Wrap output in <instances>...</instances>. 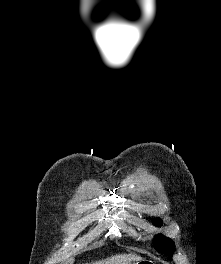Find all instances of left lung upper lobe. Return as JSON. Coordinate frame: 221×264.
<instances>
[{"instance_id": "1", "label": "left lung upper lobe", "mask_w": 221, "mask_h": 264, "mask_svg": "<svg viewBox=\"0 0 221 264\" xmlns=\"http://www.w3.org/2000/svg\"><path fill=\"white\" fill-rule=\"evenodd\" d=\"M153 223L156 226H160L162 224L161 219L157 218L153 220ZM154 244L156 247V250L161 252V253H166L171 255L174 251L175 248V244L173 242V240H171L170 238H165V237H161V236H156L154 239Z\"/></svg>"}]
</instances>
